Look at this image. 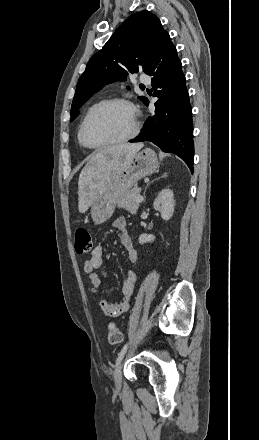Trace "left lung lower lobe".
Returning a JSON list of instances; mask_svg holds the SVG:
<instances>
[{
    "label": "left lung lower lobe",
    "mask_w": 259,
    "mask_h": 440,
    "mask_svg": "<svg viewBox=\"0 0 259 440\" xmlns=\"http://www.w3.org/2000/svg\"><path fill=\"white\" fill-rule=\"evenodd\" d=\"M181 61L168 35L146 74L152 76L155 113L131 142L150 141L162 151L174 153L193 173L194 144L192 111ZM148 100L145 104L148 105Z\"/></svg>",
    "instance_id": "1"
}]
</instances>
